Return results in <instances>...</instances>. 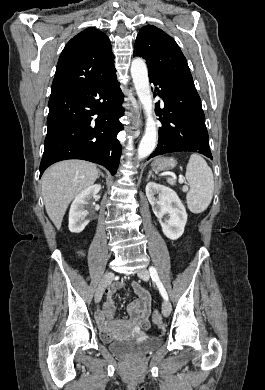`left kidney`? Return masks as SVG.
I'll return each mask as SVG.
<instances>
[{
	"instance_id": "1",
	"label": "left kidney",
	"mask_w": 265,
	"mask_h": 390,
	"mask_svg": "<svg viewBox=\"0 0 265 390\" xmlns=\"http://www.w3.org/2000/svg\"><path fill=\"white\" fill-rule=\"evenodd\" d=\"M145 190L164 235L171 240H177L182 236L187 222L186 209L180 198L174 190L155 182H149ZM156 194L159 195L158 200L155 198Z\"/></svg>"
}]
</instances>
